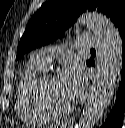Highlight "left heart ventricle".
Returning a JSON list of instances; mask_svg holds the SVG:
<instances>
[{
  "label": "left heart ventricle",
  "instance_id": "b2bd125f",
  "mask_svg": "<svg viewBox=\"0 0 125 128\" xmlns=\"http://www.w3.org/2000/svg\"><path fill=\"white\" fill-rule=\"evenodd\" d=\"M44 95L47 102L54 108L61 109L71 104V101L63 92L58 77H53L44 86Z\"/></svg>",
  "mask_w": 125,
  "mask_h": 128
}]
</instances>
